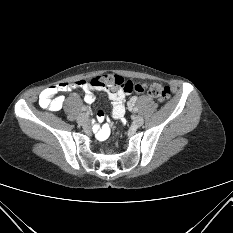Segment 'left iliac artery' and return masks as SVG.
<instances>
[{
  "instance_id": "obj_1",
  "label": "left iliac artery",
  "mask_w": 233,
  "mask_h": 233,
  "mask_svg": "<svg viewBox=\"0 0 233 233\" xmlns=\"http://www.w3.org/2000/svg\"><path fill=\"white\" fill-rule=\"evenodd\" d=\"M133 100H134V102L137 100V98L136 97H133ZM133 111L134 112H138V108L137 107H135L134 109H133Z\"/></svg>"
}]
</instances>
